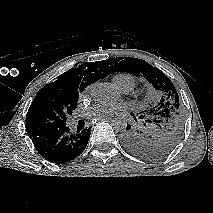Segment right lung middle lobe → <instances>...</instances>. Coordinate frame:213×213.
<instances>
[{
    "instance_id": "right-lung-middle-lobe-1",
    "label": "right lung middle lobe",
    "mask_w": 213,
    "mask_h": 213,
    "mask_svg": "<svg viewBox=\"0 0 213 213\" xmlns=\"http://www.w3.org/2000/svg\"><path fill=\"white\" fill-rule=\"evenodd\" d=\"M78 98V92L39 91L26 115L28 136L66 127V117L77 108Z\"/></svg>"
}]
</instances>
